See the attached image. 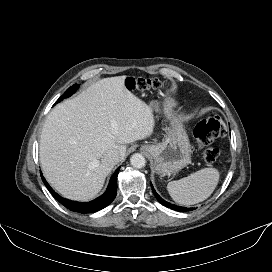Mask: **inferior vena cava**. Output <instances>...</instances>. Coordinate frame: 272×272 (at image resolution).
<instances>
[{"label": "inferior vena cava", "instance_id": "1", "mask_svg": "<svg viewBox=\"0 0 272 272\" xmlns=\"http://www.w3.org/2000/svg\"><path fill=\"white\" fill-rule=\"evenodd\" d=\"M120 161L119 152L116 150H110L102 157V162L108 165H116Z\"/></svg>", "mask_w": 272, "mask_h": 272}]
</instances>
